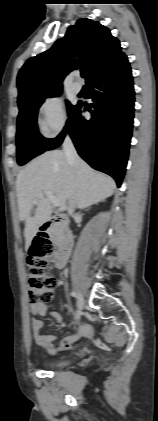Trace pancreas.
I'll return each mask as SVG.
<instances>
[{"label": "pancreas", "instance_id": "cf45deb5", "mask_svg": "<svg viewBox=\"0 0 158 421\" xmlns=\"http://www.w3.org/2000/svg\"><path fill=\"white\" fill-rule=\"evenodd\" d=\"M49 234L51 236V239H52L53 243L57 244L59 242L60 237H61V230L57 226H53L50 229Z\"/></svg>", "mask_w": 158, "mask_h": 421}]
</instances>
